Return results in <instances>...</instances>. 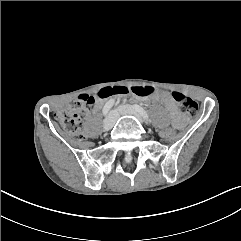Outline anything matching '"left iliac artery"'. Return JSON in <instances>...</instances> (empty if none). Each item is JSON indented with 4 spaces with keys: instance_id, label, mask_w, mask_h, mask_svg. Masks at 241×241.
I'll use <instances>...</instances> for the list:
<instances>
[{
    "instance_id": "obj_1",
    "label": "left iliac artery",
    "mask_w": 241,
    "mask_h": 241,
    "mask_svg": "<svg viewBox=\"0 0 241 241\" xmlns=\"http://www.w3.org/2000/svg\"><path fill=\"white\" fill-rule=\"evenodd\" d=\"M133 107L146 121H150L147 112L142 107L139 105H134Z\"/></svg>"
}]
</instances>
